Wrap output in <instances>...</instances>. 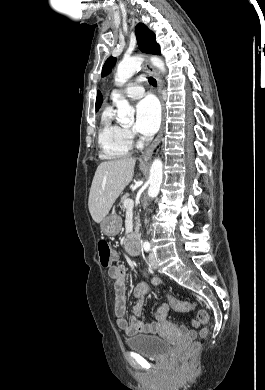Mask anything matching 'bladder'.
I'll list each match as a JSON object with an SVG mask.
<instances>
[{
    "instance_id": "obj_1",
    "label": "bladder",
    "mask_w": 265,
    "mask_h": 390,
    "mask_svg": "<svg viewBox=\"0 0 265 390\" xmlns=\"http://www.w3.org/2000/svg\"><path fill=\"white\" fill-rule=\"evenodd\" d=\"M126 344L131 350L152 359H161L171 351L167 341L154 335H136L127 339Z\"/></svg>"
}]
</instances>
